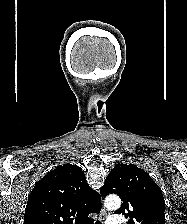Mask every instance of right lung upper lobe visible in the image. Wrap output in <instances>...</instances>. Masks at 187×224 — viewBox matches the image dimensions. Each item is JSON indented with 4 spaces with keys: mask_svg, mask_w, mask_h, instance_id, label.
<instances>
[{
    "mask_svg": "<svg viewBox=\"0 0 187 224\" xmlns=\"http://www.w3.org/2000/svg\"><path fill=\"white\" fill-rule=\"evenodd\" d=\"M101 197L87 183L81 168L56 167L31 191L23 224H92L90 213L101 209Z\"/></svg>",
    "mask_w": 187,
    "mask_h": 224,
    "instance_id": "obj_1",
    "label": "right lung upper lobe"
}]
</instances>
